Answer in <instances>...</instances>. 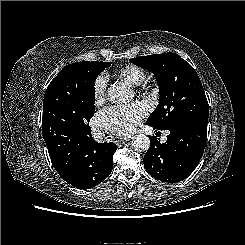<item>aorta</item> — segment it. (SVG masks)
I'll return each instance as SVG.
<instances>
[{"label":"aorta","mask_w":245,"mask_h":245,"mask_svg":"<svg viewBox=\"0 0 245 245\" xmlns=\"http://www.w3.org/2000/svg\"><path fill=\"white\" fill-rule=\"evenodd\" d=\"M107 96L112 103H124L133 96L127 86L121 82H116L108 88ZM136 151H145L150 147V139L144 134L135 135L131 142Z\"/></svg>","instance_id":"762f6f07"}]
</instances>
